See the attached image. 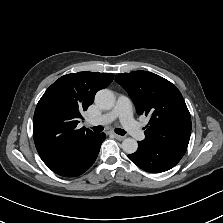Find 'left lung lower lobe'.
Returning a JSON list of instances; mask_svg holds the SVG:
<instances>
[{
	"label": "left lung lower lobe",
	"instance_id": "0a47b994",
	"mask_svg": "<svg viewBox=\"0 0 223 223\" xmlns=\"http://www.w3.org/2000/svg\"><path fill=\"white\" fill-rule=\"evenodd\" d=\"M128 157L138 167L151 173L167 171L182 158L181 155L161 150L143 141L138 142L137 151Z\"/></svg>",
	"mask_w": 223,
	"mask_h": 223
}]
</instances>
